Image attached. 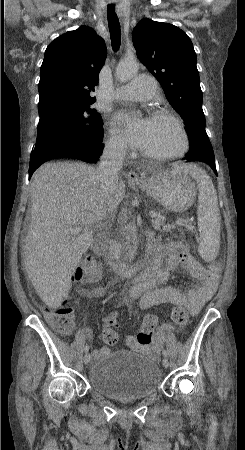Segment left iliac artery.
<instances>
[{
    "instance_id": "44dca946",
    "label": "left iliac artery",
    "mask_w": 245,
    "mask_h": 450,
    "mask_svg": "<svg viewBox=\"0 0 245 450\" xmlns=\"http://www.w3.org/2000/svg\"><path fill=\"white\" fill-rule=\"evenodd\" d=\"M163 355H164L165 357H167L168 353H167L166 350H163Z\"/></svg>"
}]
</instances>
